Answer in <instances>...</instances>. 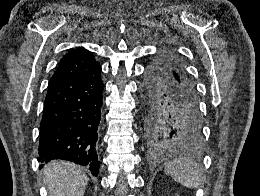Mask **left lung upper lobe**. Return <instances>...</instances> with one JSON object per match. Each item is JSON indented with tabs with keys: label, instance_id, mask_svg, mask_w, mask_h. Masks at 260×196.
Returning a JSON list of instances; mask_svg holds the SVG:
<instances>
[{
	"label": "left lung upper lobe",
	"instance_id": "obj_1",
	"mask_svg": "<svg viewBox=\"0 0 260 196\" xmlns=\"http://www.w3.org/2000/svg\"><path fill=\"white\" fill-rule=\"evenodd\" d=\"M141 123L144 143L152 152L193 147L202 142L195 85L183 60L171 50L148 65Z\"/></svg>",
	"mask_w": 260,
	"mask_h": 196
}]
</instances>
